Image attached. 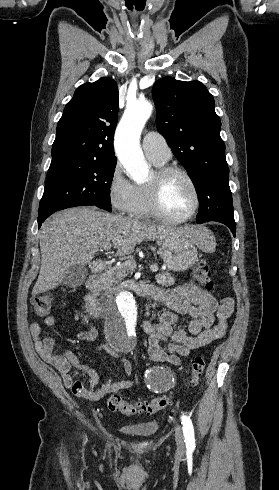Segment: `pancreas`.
Masks as SVG:
<instances>
[{
  "instance_id": "pancreas-1",
  "label": "pancreas",
  "mask_w": 279,
  "mask_h": 490,
  "mask_svg": "<svg viewBox=\"0 0 279 490\" xmlns=\"http://www.w3.org/2000/svg\"><path fill=\"white\" fill-rule=\"evenodd\" d=\"M136 270V264L133 262L131 266H126V264H121V266H114V268H108L105 270V274L99 276L96 280V286L99 290H110L113 284H119L121 280H124L128 274ZM158 284L161 286H173L175 284V278L169 274V272H160L155 276Z\"/></svg>"
}]
</instances>
